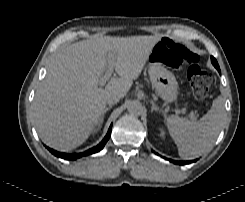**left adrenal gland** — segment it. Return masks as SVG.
I'll list each match as a JSON object with an SVG mask.
<instances>
[{
    "mask_svg": "<svg viewBox=\"0 0 245 202\" xmlns=\"http://www.w3.org/2000/svg\"><path fill=\"white\" fill-rule=\"evenodd\" d=\"M150 103H151V105H152V107H151V112L156 111V112H159V113H164V111L161 110V109H159V108L155 105V103H154L153 101H151Z\"/></svg>",
    "mask_w": 245,
    "mask_h": 202,
    "instance_id": "1",
    "label": "left adrenal gland"
}]
</instances>
